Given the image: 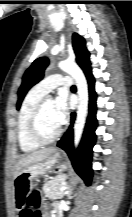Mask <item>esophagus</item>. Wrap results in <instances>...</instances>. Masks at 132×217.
Here are the masks:
<instances>
[{"mask_svg": "<svg viewBox=\"0 0 132 217\" xmlns=\"http://www.w3.org/2000/svg\"><path fill=\"white\" fill-rule=\"evenodd\" d=\"M68 32H69V36H71V29L70 28L68 29Z\"/></svg>", "mask_w": 132, "mask_h": 217, "instance_id": "esophagus-1", "label": "esophagus"}]
</instances>
